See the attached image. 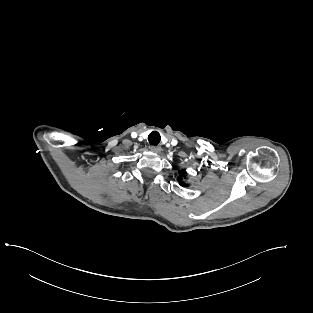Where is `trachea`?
<instances>
[{
	"mask_svg": "<svg viewBox=\"0 0 313 313\" xmlns=\"http://www.w3.org/2000/svg\"><path fill=\"white\" fill-rule=\"evenodd\" d=\"M148 140H149V143H150L151 145L156 146V145L159 144V142H160V140H161V136H160V134H159L158 132L153 131V132H151V133L149 134Z\"/></svg>",
	"mask_w": 313,
	"mask_h": 313,
	"instance_id": "trachea-1",
	"label": "trachea"
}]
</instances>
